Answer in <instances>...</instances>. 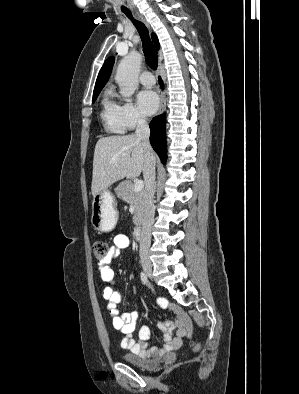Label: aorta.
Masks as SVG:
<instances>
[{
  "instance_id": "762f6f07",
  "label": "aorta",
  "mask_w": 299,
  "mask_h": 394,
  "mask_svg": "<svg viewBox=\"0 0 299 394\" xmlns=\"http://www.w3.org/2000/svg\"><path fill=\"white\" fill-rule=\"evenodd\" d=\"M141 61L142 56L132 52L125 56L118 65L115 80L124 97L132 96L137 89Z\"/></svg>"
}]
</instances>
